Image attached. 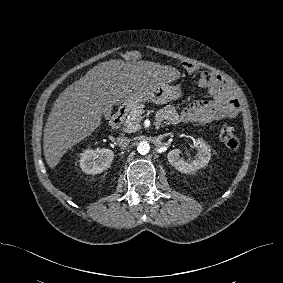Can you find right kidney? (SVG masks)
Wrapping results in <instances>:
<instances>
[{"mask_svg":"<svg viewBox=\"0 0 283 283\" xmlns=\"http://www.w3.org/2000/svg\"><path fill=\"white\" fill-rule=\"evenodd\" d=\"M114 158L110 149H87L80 154V168L87 174H99L106 170Z\"/></svg>","mask_w":283,"mask_h":283,"instance_id":"right-kidney-1","label":"right kidney"}]
</instances>
